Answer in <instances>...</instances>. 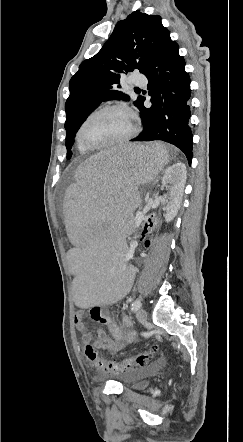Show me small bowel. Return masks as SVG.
Segmentation results:
<instances>
[{
    "label": "small bowel",
    "mask_w": 243,
    "mask_h": 442,
    "mask_svg": "<svg viewBox=\"0 0 243 442\" xmlns=\"http://www.w3.org/2000/svg\"><path fill=\"white\" fill-rule=\"evenodd\" d=\"M90 316L93 320L105 324L112 337H109L104 330L98 329L93 340V334L88 330L84 320V313L79 311L74 316V323L83 344L93 340V345L96 348L114 353L123 349L125 345L136 338V333L131 329L132 321L128 317H123L121 327L113 319L103 315L100 307H92Z\"/></svg>",
    "instance_id": "small-bowel-1"
}]
</instances>
